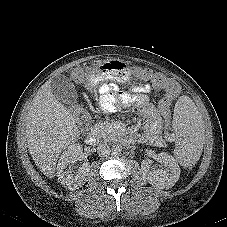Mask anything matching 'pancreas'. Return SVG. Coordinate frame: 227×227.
Instances as JSON below:
<instances>
[{
    "label": "pancreas",
    "instance_id": "cf45deb5",
    "mask_svg": "<svg viewBox=\"0 0 227 227\" xmlns=\"http://www.w3.org/2000/svg\"><path fill=\"white\" fill-rule=\"evenodd\" d=\"M114 129L109 123H98L94 126L93 134L98 138L109 140L114 135Z\"/></svg>",
    "mask_w": 227,
    "mask_h": 227
}]
</instances>
